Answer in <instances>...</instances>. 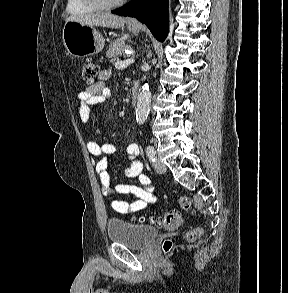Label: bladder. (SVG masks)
Here are the masks:
<instances>
[{"instance_id":"bladder-1","label":"bladder","mask_w":288,"mask_h":293,"mask_svg":"<svg viewBox=\"0 0 288 293\" xmlns=\"http://www.w3.org/2000/svg\"><path fill=\"white\" fill-rule=\"evenodd\" d=\"M107 234L114 243L132 249H144L158 236V231L150 225L112 219L107 222Z\"/></svg>"}]
</instances>
